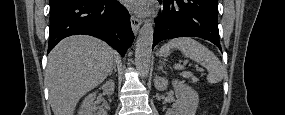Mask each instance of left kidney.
<instances>
[{
    "label": "left kidney",
    "instance_id": "5707ae66",
    "mask_svg": "<svg viewBox=\"0 0 285 115\" xmlns=\"http://www.w3.org/2000/svg\"><path fill=\"white\" fill-rule=\"evenodd\" d=\"M176 101L173 104V109L169 111V115H195L199 103L197 92L182 81L173 80L172 82ZM168 85V80L163 77L155 78V87L158 90H165Z\"/></svg>",
    "mask_w": 285,
    "mask_h": 115
}]
</instances>
